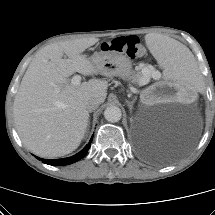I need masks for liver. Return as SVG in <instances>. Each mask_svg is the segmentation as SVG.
Returning <instances> with one entry per match:
<instances>
[{
	"instance_id": "liver-1",
	"label": "liver",
	"mask_w": 215,
	"mask_h": 215,
	"mask_svg": "<svg viewBox=\"0 0 215 215\" xmlns=\"http://www.w3.org/2000/svg\"><path fill=\"white\" fill-rule=\"evenodd\" d=\"M98 41L90 37L51 43L35 54L26 70L13 114L22 143L35 155L55 158L77 149L88 126L86 102L92 98L104 102L105 80L90 79L77 86L68 81L75 72L85 76L98 73L82 54Z\"/></svg>"
}]
</instances>
